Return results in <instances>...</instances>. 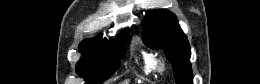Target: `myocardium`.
Segmentation results:
<instances>
[{"mask_svg": "<svg viewBox=\"0 0 260 84\" xmlns=\"http://www.w3.org/2000/svg\"><path fill=\"white\" fill-rule=\"evenodd\" d=\"M159 71H164V69H165V64H164V62H160L159 64H158V68H157Z\"/></svg>", "mask_w": 260, "mask_h": 84, "instance_id": "myocardium-1", "label": "myocardium"}]
</instances>
